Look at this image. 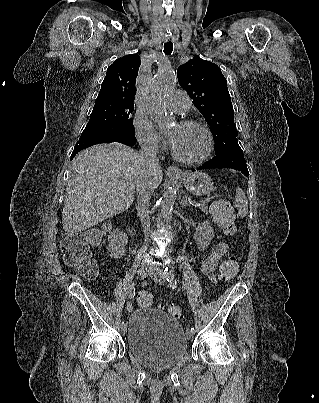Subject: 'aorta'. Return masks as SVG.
Masks as SVG:
<instances>
[{
  "label": "aorta",
  "mask_w": 319,
  "mask_h": 403,
  "mask_svg": "<svg viewBox=\"0 0 319 403\" xmlns=\"http://www.w3.org/2000/svg\"><path fill=\"white\" fill-rule=\"evenodd\" d=\"M175 83L176 77L170 69H160L147 86L146 105L149 117L159 126L165 125L168 121L164 100ZM176 198V188H168L161 198V212L166 220L171 218Z\"/></svg>",
  "instance_id": "obj_1"
}]
</instances>
